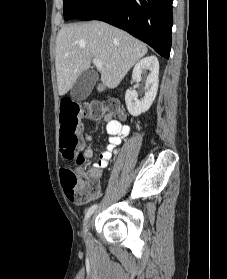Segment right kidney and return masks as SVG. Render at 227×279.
Wrapping results in <instances>:
<instances>
[{"mask_svg": "<svg viewBox=\"0 0 227 279\" xmlns=\"http://www.w3.org/2000/svg\"><path fill=\"white\" fill-rule=\"evenodd\" d=\"M148 70L145 83V96L143 100L138 99V94L135 90H127L125 94V102L129 113L133 116H139L149 110L158 90V75H159V62L157 57L148 56L138 61L133 69L131 75V83L139 82L141 80V74Z\"/></svg>", "mask_w": 227, "mask_h": 279, "instance_id": "ca27d5eb", "label": "right kidney"}]
</instances>
